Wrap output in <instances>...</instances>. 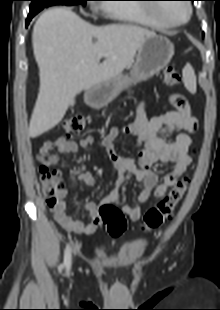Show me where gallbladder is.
<instances>
[{"label":"gallbladder","mask_w":220,"mask_h":310,"mask_svg":"<svg viewBox=\"0 0 220 310\" xmlns=\"http://www.w3.org/2000/svg\"><path fill=\"white\" fill-rule=\"evenodd\" d=\"M74 104H75V101H74V100H72V102L70 103V106H71V107H73V106H74Z\"/></svg>","instance_id":"obj_1"}]
</instances>
